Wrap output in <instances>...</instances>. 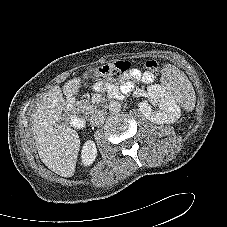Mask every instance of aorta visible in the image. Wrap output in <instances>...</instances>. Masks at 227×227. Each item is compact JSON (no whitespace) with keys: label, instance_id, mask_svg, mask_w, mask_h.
Listing matches in <instances>:
<instances>
[{"label":"aorta","instance_id":"aorta-1","mask_svg":"<svg viewBox=\"0 0 227 227\" xmlns=\"http://www.w3.org/2000/svg\"><path fill=\"white\" fill-rule=\"evenodd\" d=\"M121 110V104L118 101H112L109 104V111L112 113H118Z\"/></svg>","mask_w":227,"mask_h":227}]
</instances>
